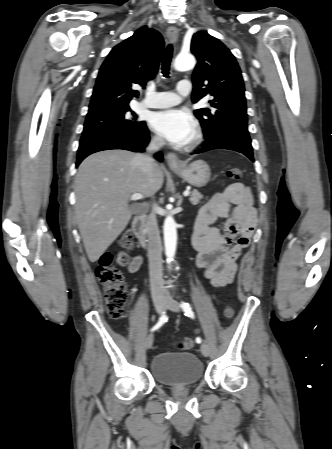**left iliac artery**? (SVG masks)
<instances>
[{
  "label": "left iliac artery",
  "mask_w": 332,
  "mask_h": 449,
  "mask_svg": "<svg viewBox=\"0 0 332 449\" xmlns=\"http://www.w3.org/2000/svg\"><path fill=\"white\" fill-rule=\"evenodd\" d=\"M181 308L184 311L186 316H188L190 318H194V312H193L191 306L187 302H181ZM196 342L201 343L202 339L200 337H197Z\"/></svg>",
  "instance_id": "44dca946"
}]
</instances>
